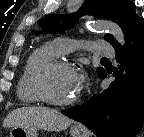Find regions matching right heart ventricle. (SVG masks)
I'll use <instances>...</instances> for the list:
<instances>
[{
  "label": "right heart ventricle",
  "instance_id": "e07e8e85",
  "mask_svg": "<svg viewBox=\"0 0 144 137\" xmlns=\"http://www.w3.org/2000/svg\"><path fill=\"white\" fill-rule=\"evenodd\" d=\"M56 57L51 44H45L36 48L26 59L22 73L17 83V96L24 104H36L40 100L34 93L31 80L34 71L40 65L53 60Z\"/></svg>",
  "mask_w": 144,
  "mask_h": 137
}]
</instances>
